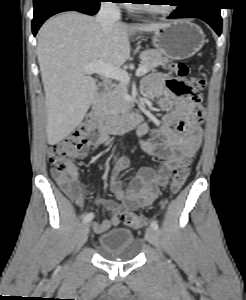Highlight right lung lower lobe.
I'll return each instance as SVG.
<instances>
[{
  "label": "right lung lower lobe",
  "mask_w": 246,
  "mask_h": 300,
  "mask_svg": "<svg viewBox=\"0 0 246 300\" xmlns=\"http://www.w3.org/2000/svg\"><path fill=\"white\" fill-rule=\"evenodd\" d=\"M102 0H34V18L32 31L35 36L46 19L63 11H79L94 15L100 8Z\"/></svg>",
  "instance_id": "1"
}]
</instances>
